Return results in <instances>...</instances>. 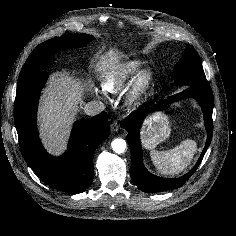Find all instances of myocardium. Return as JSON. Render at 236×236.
<instances>
[{
    "label": "myocardium",
    "instance_id": "1",
    "mask_svg": "<svg viewBox=\"0 0 236 236\" xmlns=\"http://www.w3.org/2000/svg\"><path fill=\"white\" fill-rule=\"evenodd\" d=\"M155 79L152 69L145 68L140 70L131 83L126 94V102L129 105L139 103L151 89Z\"/></svg>",
    "mask_w": 236,
    "mask_h": 236
}]
</instances>
